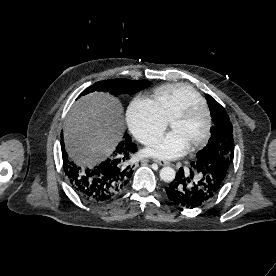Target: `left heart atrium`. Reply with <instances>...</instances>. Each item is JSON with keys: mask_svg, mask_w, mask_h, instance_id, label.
I'll return each instance as SVG.
<instances>
[{"mask_svg": "<svg viewBox=\"0 0 276 276\" xmlns=\"http://www.w3.org/2000/svg\"><path fill=\"white\" fill-rule=\"evenodd\" d=\"M189 146L177 131H170L148 145L145 153L160 160H174L185 155Z\"/></svg>", "mask_w": 276, "mask_h": 276, "instance_id": "obj_1", "label": "left heart atrium"}]
</instances>
